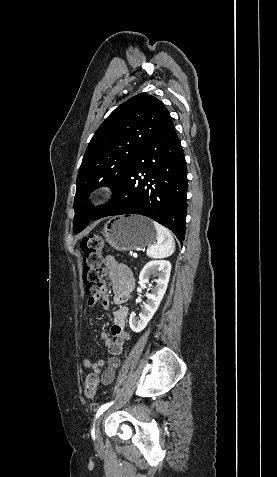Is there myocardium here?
Segmentation results:
<instances>
[{
    "mask_svg": "<svg viewBox=\"0 0 277 477\" xmlns=\"http://www.w3.org/2000/svg\"><path fill=\"white\" fill-rule=\"evenodd\" d=\"M109 188L108 187H102L98 189L92 196L93 201H101L104 198H106L109 194Z\"/></svg>",
    "mask_w": 277,
    "mask_h": 477,
    "instance_id": "myocardium-1",
    "label": "myocardium"
}]
</instances>
